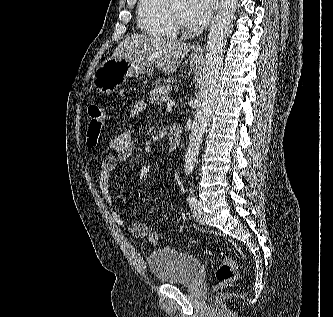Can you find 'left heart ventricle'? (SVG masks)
I'll return each mask as SVG.
<instances>
[{
  "label": "left heart ventricle",
  "mask_w": 333,
  "mask_h": 317,
  "mask_svg": "<svg viewBox=\"0 0 333 317\" xmlns=\"http://www.w3.org/2000/svg\"><path fill=\"white\" fill-rule=\"evenodd\" d=\"M186 0H172V8L175 14L186 23L184 9Z\"/></svg>",
  "instance_id": "1"
}]
</instances>
